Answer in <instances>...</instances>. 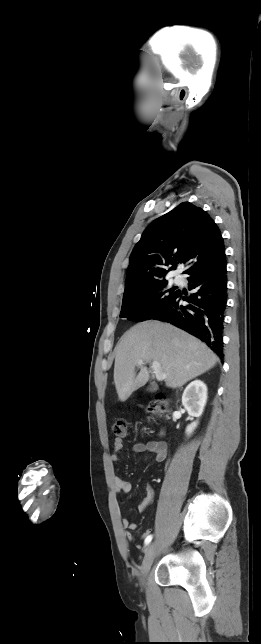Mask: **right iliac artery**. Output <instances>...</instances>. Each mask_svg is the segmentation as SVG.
<instances>
[{
	"mask_svg": "<svg viewBox=\"0 0 261 644\" xmlns=\"http://www.w3.org/2000/svg\"><path fill=\"white\" fill-rule=\"evenodd\" d=\"M152 538H153V536H152V535H149V536L145 539V545H148V544L151 542Z\"/></svg>",
	"mask_w": 261,
	"mask_h": 644,
	"instance_id": "obj_1",
	"label": "right iliac artery"
}]
</instances>
